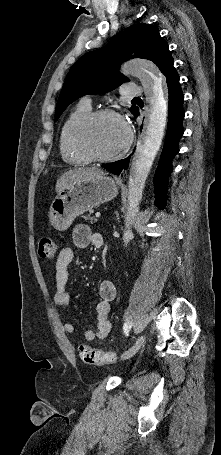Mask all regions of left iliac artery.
Returning <instances> with one entry per match:
<instances>
[{
    "mask_svg": "<svg viewBox=\"0 0 221 455\" xmlns=\"http://www.w3.org/2000/svg\"><path fill=\"white\" fill-rule=\"evenodd\" d=\"M132 327V322H126L123 326L124 333L128 336L129 330Z\"/></svg>",
    "mask_w": 221,
    "mask_h": 455,
    "instance_id": "1",
    "label": "left iliac artery"
}]
</instances>
